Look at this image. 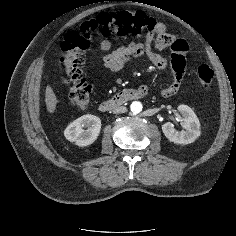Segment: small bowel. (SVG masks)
<instances>
[{
	"instance_id": "obj_1",
	"label": "small bowel",
	"mask_w": 236,
	"mask_h": 236,
	"mask_svg": "<svg viewBox=\"0 0 236 236\" xmlns=\"http://www.w3.org/2000/svg\"><path fill=\"white\" fill-rule=\"evenodd\" d=\"M99 48L103 54V65L111 73L121 71L132 58L141 56H146L154 66L164 68L168 64V59L155 49L170 48L172 51L171 66L173 79L162 88V95L165 97L173 96L182 84L185 72V59L189 49L184 39L172 37L171 40L164 41L154 33L149 32L142 42H131L112 49L111 42L108 39H103L100 41ZM140 89L145 93L148 92L146 86H142Z\"/></svg>"
}]
</instances>
